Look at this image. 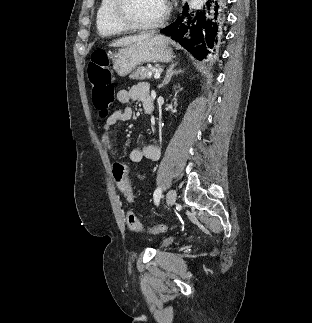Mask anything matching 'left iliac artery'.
Wrapping results in <instances>:
<instances>
[{
    "label": "left iliac artery",
    "mask_w": 312,
    "mask_h": 323,
    "mask_svg": "<svg viewBox=\"0 0 312 323\" xmlns=\"http://www.w3.org/2000/svg\"><path fill=\"white\" fill-rule=\"evenodd\" d=\"M161 194H162V190L161 188H157L153 194V197H154V202L156 205L159 204V201H160V198H161Z\"/></svg>",
    "instance_id": "44dca946"
}]
</instances>
